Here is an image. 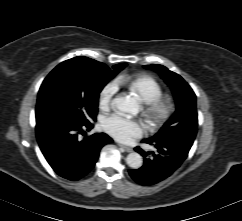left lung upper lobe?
I'll use <instances>...</instances> for the list:
<instances>
[{
  "label": "left lung upper lobe",
  "mask_w": 242,
  "mask_h": 221,
  "mask_svg": "<svg viewBox=\"0 0 242 221\" xmlns=\"http://www.w3.org/2000/svg\"><path fill=\"white\" fill-rule=\"evenodd\" d=\"M145 67L159 72L171 87L176 101L175 113L159 132L149 140L158 141L179 138L194 141L198 125L195 93L181 76L166 67L155 64Z\"/></svg>",
  "instance_id": "5c2ea615"
}]
</instances>
